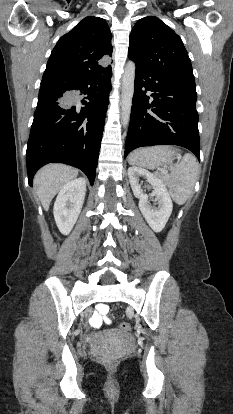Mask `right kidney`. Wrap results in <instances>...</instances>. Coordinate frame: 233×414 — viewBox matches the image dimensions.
<instances>
[{
  "label": "right kidney",
  "instance_id": "ca27d5eb",
  "mask_svg": "<svg viewBox=\"0 0 233 414\" xmlns=\"http://www.w3.org/2000/svg\"><path fill=\"white\" fill-rule=\"evenodd\" d=\"M86 194V180L77 178L66 183L54 203V218L60 232L68 235L81 212Z\"/></svg>",
  "mask_w": 233,
  "mask_h": 414
}]
</instances>
